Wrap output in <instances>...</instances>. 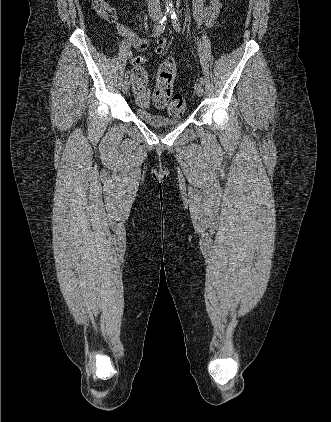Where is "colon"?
<instances>
[{"mask_svg": "<svg viewBox=\"0 0 331 422\" xmlns=\"http://www.w3.org/2000/svg\"><path fill=\"white\" fill-rule=\"evenodd\" d=\"M94 7L97 13L107 21L117 19L116 10L107 0H95ZM177 70L176 61L169 58L161 63L157 73L156 87L153 92V104L157 108L168 106V113L171 116H180L186 109V102L180 94H173V80ZM132 77L139 80L148 79L147 71L140 66L132 70ZM142 103H146L149 97L142 93L140 96Z\"/></svg>", "mask_w": 331, "mask_h": 422, "instance_id": "1", "label": "colon"}]
</instances>
